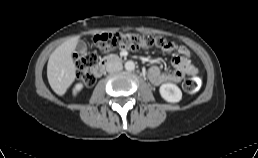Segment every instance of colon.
Masks as SVG:
<instances>
[{
  "mask_svg": "<svg viewBox=\"0 0 258 158\" xmlns=\"http://www.w3.org/2000/svg\"><path fill=\"white\" fill-rule=\"evenodd\" d=\"M94 44L101 51H108L117 47L123 49H149L158 47L163 50H170L173 47V42L163 37L134 33H101L94 37ZM96 62V55L87 50H81L75 55L78 79L88 86L93 84V78L89 70ZM200 87L201 80L195 76L189 77L183 82L184 91L190 94L199 91Z\"/></svg>",
  "mask_w": 258,
  "mask_h": 158,
  "instance_id": "colon-1",
  "label": "colon"
}]
</instances>
